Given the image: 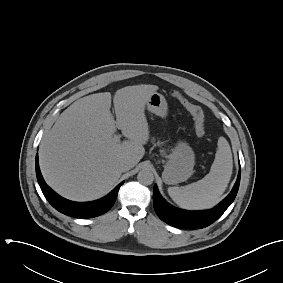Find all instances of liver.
<instances>
[{"mask_svg": "<svg viewBox=\"0 0 283 283\" xmlns=\"http://www.w3.org/2000/svg\"><path fill=\"white\" fill-rule=\"evenodd\" d=\"M159 89L156 85L126 86L117 90L111 114V93L78 99L64 110L44 135L40 149L41 172L61 196L91 201L106 195L121 176L119 163L131 168L145 154L149 126L145 105ZM116 128L128 139H115Z\"/></svg>", "mask_w": 283, "mask_h": 283, "instance_id": "liver-1", "label": "liver"}]
</instances>
